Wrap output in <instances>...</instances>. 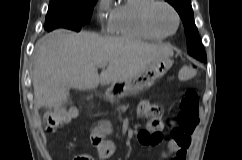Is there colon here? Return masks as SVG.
Wrapping results in <instances>:
<instances>
[{"label": "colon", "mask_w": 242, "mask_h": 160, "mask_svg": "<svg viewBox=\"0 0 242 160\" xmlns=\"http://www.w3.org/2000/svg\"><path fill=\"white\" fill-rule=\"evenodd\" d=\"M198 75V66L195 64L186 65L180 72V79L182 81H189L196 78ZM198 95L195 90H187L182 97L180 110L178 114V123L172 131V136L179 141L181 146L185 145L186 138L183 133H191L198 124ZM150 117L151 122L149 128L143 130L139 135V141L143 145H155L162 141V133L159 130L160 117L162 110L160 107L149 105L145 110ZM77 111L75 108L56 109L45 115V127L48 132H55L61 126L69 123L75 118ZM105 144L102 142L101 145ZM101 157L109 156L110 152L107 149L101 148L98 152ZM74 160H93L89 154H80Z\"/></svg>", "instance_id": "colon-1"}]
</instances>
